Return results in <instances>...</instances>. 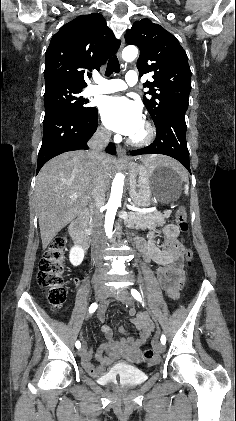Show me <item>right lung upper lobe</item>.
Wrapping results in <instances>:
<instances>
[{
  "instance_id": "obj_1",
  "label": "right lung upper lobe",
  "mask_w": 236,
  "mask_h": 421,
  "mask_svg": "<svg viewBox=\"0 0 236 421\" xmlns=\"http://www.w3.org/2000/svg\"><path fill=\"white\" fill-rule=\"evenodd\" d=\"M120 46L101 14L81 15L52 37L46 51V87L83 89L85 69H97Z\"/></svg>"
}]
</instances>
